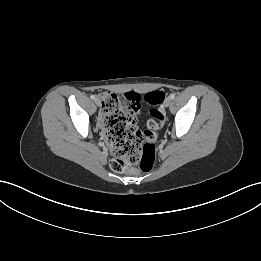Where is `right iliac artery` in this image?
Masks as SVG:
<instances>
[{
    "mask_svg": "<svg viewBox=\"0 0 261 261\" xmlns=\"http://www.w3.org/2000/svg\"><path fill=\"white\" fill-rule=\"evenodd\" d=\"M90 97H91V99H93V100L96 98L95 95H93V94H92Z\"/></svg>",
    "mask_w": 261,
    "mask_h": 261,
    "instance_id": "82829eb1",
    "label": "right iliac artery"
}]
</instances>
